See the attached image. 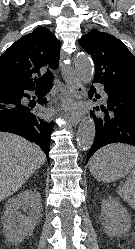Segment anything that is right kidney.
Instances as JSON below:
<instances>
[{"instance_id":"right-kidney-1","label":"right kidney","mask_w":135,"mask_h":249,"mask_svg":"<svg viewBox=\"0 0 135 249\" xmlns=\"http://www.w3.org/2000/svg\"><path fill=\"white\" fill-rule=\"evenodd\" d=\"M27 212L22 214L19 210ZM41 216V196L38 192L26 190L11 198L4 208L3 233L6 239L17 245L34 230Z\"/></svg>"}]
</instances>
